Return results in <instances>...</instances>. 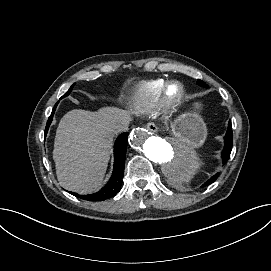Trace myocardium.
<instances>
[{
  "label": "myocardium",
  "mask_w": 271,
  "mask_h": 271,
  "mask_svg": "<svg viewBox=\"0 0 271 271\" xmlns=\"http://www.w3.org/2000/svg\"><path fill=\"white\" fill-rule=\"evenodd\" d=\"M185 93V85L179 80L168 82L164 89V97L169 104L179 102L184 97Z\"/></svg>",
  "instance_id": "1"
}]
</instances>
